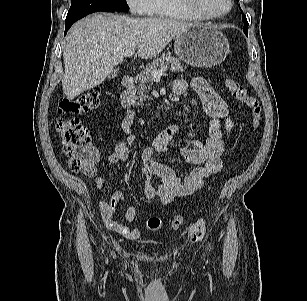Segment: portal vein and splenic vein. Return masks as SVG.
<instances>
[{"label": "portal vein and splenic vein", "instance_id": "portal-vein-and-splenic-vein-1", "mask_svg": "<svg viewBox=\"0 0 307 301\" xmlns=\"http://www.w3.org/2000/svg\"><path fill=\"white\" fill-rule=\"evenodd\" d=\"M134 53H135V50H130V51H127L124 54V56L125 57H131V56L134 55ZM167 69H168V67H163V68H161L159 70L158 69L153 70L152 73H151L152 74V78L154 80H159Z\"/></svg>", "mask_w": 307, "mask_h": 301}]
</instances>
